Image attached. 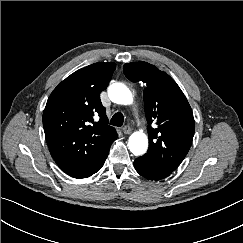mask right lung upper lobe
Returning a JSON list of instances; mask_svg holds the SVG:
<instances>
[{"label":"right lung upper lobe","instance_id":"obj_1","mask_svg":"<svg viewBox=\"0 0 243 243\" xmlns=\"http://www.w3.org/2000/svg\"><path fill=\"white\" fill-rule=\"evenodd\" d=\"M115 68V63L107 62L79 69L48 98L43 112L45 138L52 158L71 177L91 172L117 138L100 100ZM94 115H99L98 122Z\"/></svg>","mask_w":243,"mask_h":243}]
</instances>
